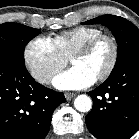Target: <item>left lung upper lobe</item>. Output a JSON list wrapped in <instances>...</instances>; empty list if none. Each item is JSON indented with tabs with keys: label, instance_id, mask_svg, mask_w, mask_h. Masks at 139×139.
I'll return each instance as SVG.
<instances>
[{
	"label": "left lung upper lobe",
	"instance_id": "1",
	"mask_svg": "<svg viewBox=\"0 0 139 139\" xmlns=\"http://www.w3.org/2000/svg\"><path fill=\"white\" fill-rule=\"evenodd\" d=\"M100 23L108 27L116 38L118 44L117 61L114 70L134 55H139V29L130 21L115 15H103L83 24Z\"/></svg>",
	"mask_w": 139,
	"mask_h": 139
}]
</instances>
